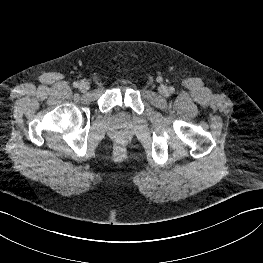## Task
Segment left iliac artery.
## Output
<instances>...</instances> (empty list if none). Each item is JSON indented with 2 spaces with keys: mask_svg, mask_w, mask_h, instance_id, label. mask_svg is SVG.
I'll return each mask as SVG.
<instances>
[{
  "mask_svg": "<svg viewBox=\"0 0 263 263\" xmlns=\"http://www.w3.org/2000/svg\"><path fill=\"white\" fill-rule=\"evenodd\" d=\"M169 91H170L171 93H173V92L175 91L174 87H170V88H169Z\"/></svg>",
  "mask_w": 263,
  "mask_h": 263,
  "instance_id": "44dca946",
  "label": "left iliac artery"
}]
</instances>
